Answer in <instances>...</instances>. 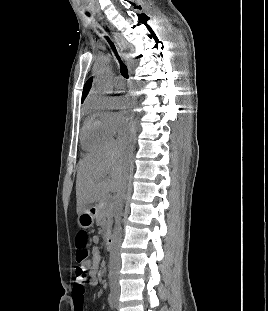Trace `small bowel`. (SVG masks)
<instances>
[{"label":"small bowel","instance_id":"c3829d8e","mask_svg":"<svg viewBox=\"0 0 268 311\" xmlns=\"http://www.w3.org/2000/svg\"><path fill=\"white\" fill-rule=\"evenodd\" d=\"M91 260L88 268V280L87 283L90 286H95L99 282V268L101 262V253L99 247V239L94 236L92 238V249H91ZM81 288H84V283L82 281H76L72 290V299L74 305V311H85L84 307V291H81Z\"/></svg>","mask_w":268,"mask_h":311}]
</instances>
